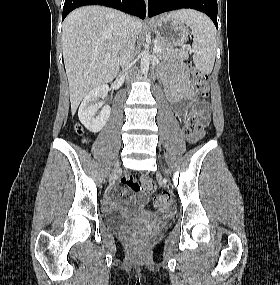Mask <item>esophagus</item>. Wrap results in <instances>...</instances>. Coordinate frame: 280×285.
I'll use <instances>...</instances> for the list:
<instances>
[{
  "mask_svg": "<svg viewBox=\"0 0 280 285\" xmlns=\"http://www.w3.org/2000/svg\"><path fill=\"white\" fill-rule=\"evenodd\" d=\"M147 2H148V0H145L146 5H147Z\"/></svg>",
  "mask_w": 280,
  "mask_h": 285,
  "instance_id": "obj_1",
  "label": "esophagus"
}]
</instances>
